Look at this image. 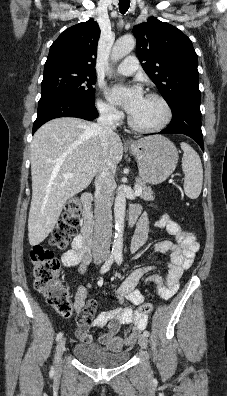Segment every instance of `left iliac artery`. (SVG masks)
Here are the masks:
<instances>
[{
  "label": "left iliac artery",
  "instance_id": "obj_1",
  "mask_svg": "<svg viewBox=\"0 0 227 396\" xmlns=\"http://www.w3.org/2000/svg\"><path fill=\"white\" fill-rule=\"evenodd\" d=\"M115 260H116V263L120 265V264L122 263V261H123V256H122V254H121V253H117V254H116ZM143 334H144L145 336H147V337L149 336V332H148L147 330H145Z\"/></svg>",
  "mask_w": 227,
  "mask_h": 396
}]
</instances>
